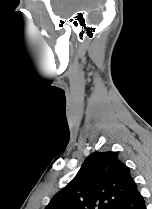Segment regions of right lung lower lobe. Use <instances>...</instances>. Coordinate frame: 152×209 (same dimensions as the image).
Listing matches in <instances>:
<instances>
[{"label":"right lung lower lobe","instance_id":"right-lung-lower-lobe-1","mask_svg":"<svg viewBox=\"0 0 152 209\" xmlns=\"http://www.w3.org/2000/svg\"><path fill=\"white\" fill-rule=\"evenodd\" d=\"M116 209H146L145 201L136 189L129 198Z\"/></svg>","mask_w":152,"mask_h":209}]
</instances>
